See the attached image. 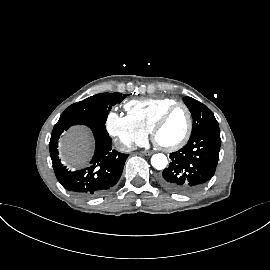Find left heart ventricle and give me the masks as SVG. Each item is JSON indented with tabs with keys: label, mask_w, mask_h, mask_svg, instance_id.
<instances>
[{
	"label": "left heart ventricle",
	"mask_w": 270,
	"mask_h": 270,
	"mask_svg": "<svg viewBox=\"0 0 270 270\" xmlns=\"http://www.w3.org/2000/svg\"><path fill=\"white\" fill-rule=\"evenodd\" d=\"M188 119L183 108H177L169 116L157 134V141L164 146H170L182 139L187 129Z\"/></svg>",
	"instance_id": "1"
}]
</instances>
